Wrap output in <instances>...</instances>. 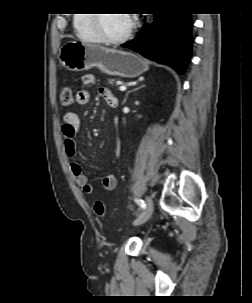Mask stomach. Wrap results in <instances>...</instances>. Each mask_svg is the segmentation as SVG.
Segmentation results:
<instances>
[{
    "mask_svg": "<svg viewBox=\"0 0 252 303\" xmlns=\"http://www.w3.org/2000/svg\"><path fill=\"white\" fill-rule=\"evenodd\" d=\"M59 60L63 66L72 71L97 67L103 73L124 78L138 77L149 68L144 59L131 52L77 40H70L62 46Z\"/></svg>",
    "mask_w": 252,
    "mask_h": 303,
    "instance_id": "stomach-1",
    "label": "stomach"
}]
</instances>
